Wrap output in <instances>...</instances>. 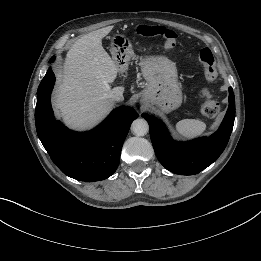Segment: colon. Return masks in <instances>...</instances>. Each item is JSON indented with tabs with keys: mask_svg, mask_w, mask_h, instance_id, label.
<instances>
[{
	"mask_svg": "<svg viewBox=\"0 0 261 261\" xmlns=\"http://www.w3.org/2000/svg\"><path fill=\"white\" fill-rule=\"evenodd\" d=\"M136 32L145 37H160L163 40L164 47L167 50H174L176 47L177 35L174 31L156 25H137ZM198 61L203 66L205 77L208 80H213L216 77V68L214 56L210 49L204 48L199 52ZM204 102L201 106V112L207 117H216L221 111L220 104L211 99L210 94L202 91Z\"/></svg>",
	"mask_w": 261,
	"mask_h": 261,
	"instance_id": "colon-1",
	"label": "colon"
}]
</instances>
